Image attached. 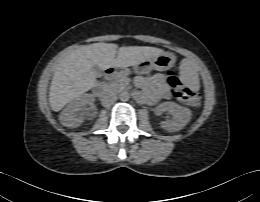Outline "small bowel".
<instances>
[{"label":"small bowel","mask_w":260,"mask_h":202,"mask_svg":"<svg viewBox=\"0 0 260 202\" xmlns=\"http://www.w3.org/2000/svg\"><path fill=\"white\" fill-rule=\"evenodd\" d=\"M136 84L144 90V94L139 95V97L148 104H156L161 100L170 97L169 89L163 74L139 76L136 78Z\"/></svg>","instance_id":"obj_1"}]
</instances>
